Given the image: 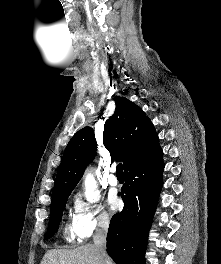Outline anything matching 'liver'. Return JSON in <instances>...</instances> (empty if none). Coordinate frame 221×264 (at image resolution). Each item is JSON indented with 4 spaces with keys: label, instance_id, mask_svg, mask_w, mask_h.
Listing matches in <instances>:
<instances>
[{
    "label": "liver",
    "instance_id": "6515ba94",
    "mask_svg": "<svg viewBox=\"0 0 221 264\" xmlns=\"http://www.w3.org/2000/svg\"><path fill=\"white\" fill-rule=\"evenodd\" d=\"M40 264H100V262L95 246L88 244L72 250H49Z\"/></svg>",
    "mask_w": 221,
    "mask_h": 264
}]
</instances>
